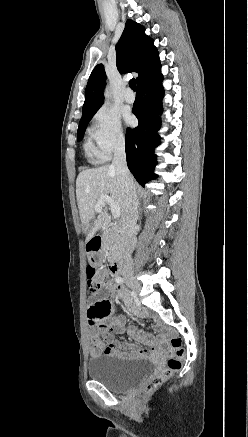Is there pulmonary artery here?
Wrapping results in <instances>:
<instances>
[{
	"label": "pulmonary artery",
	"instance_id": "obj_1",
	"mask_svg": "<svg viewBox=\"0 0 248 437\" xmlns=\"http://www.w3.org/2000/svg\"><path fill=\"white\" fill-rule=\"evenodd\" d=\"M124 99L128 103H133L135 100V95L130 89H127L124 94Z\"/></svg>",
	"mask_w": 248,
	"mask_h": 437
}]
</instances>
